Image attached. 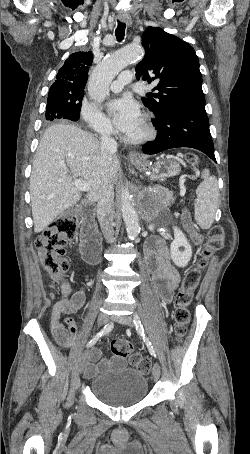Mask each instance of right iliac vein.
<instances>
[{
    "mask_svg": "<svg viewBox=\"0 0 250 454\" xmlns=\"http://www.w3.org/2000/svg\"><path fill=\"white\" fill-rule=\"evenodd\" d=\"M107 322H108V316L105 313H99L98 318H97L98 325H100V326L105 325ZM88 356H89V350H85L79 356L78 364H77L78 374H81L82 371L84 370V365L88 359Z\"/></svg>",
    "mask_w": 250,
    "mask_h": 454,
    "instance_id": "right-iliac-vein-1",
    "label": "right iliac vein"
}]
</instances>
